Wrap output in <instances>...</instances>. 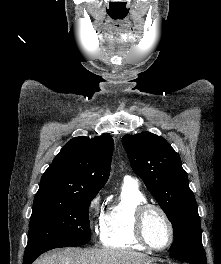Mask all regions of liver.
Here are the masks:
<instances>
[{"label":"liver","instance_id":"liver-1","mask_svg":"<svg viewBox=\"0 0 221 264\" xmlns=\"http://www.w3.org/2000/svg\"><path fill=\"white\" fill-rule=\"evenodd\" d=\"M151 261L147 255L123 249L65 248L50 252L33 264H149Z\"/></svg>","mask_w":221,"mask_h":264}]
</instances>
